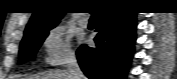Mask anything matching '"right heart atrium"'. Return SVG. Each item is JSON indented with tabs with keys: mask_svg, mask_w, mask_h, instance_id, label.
<instances>
[{
	"mask_svg": "<svg viewBox=\"0 0 177 79\" xmlns=\"http://www.w3.org/2000/svg\"><path fill=\"white\" fill-rule=\"evenodd\" d=\"M42 47L44 62L48 66L64 65L75 57L71 39L59 27H53L46 32Z\"/></svg>",
	"mask_w": 177,
	"mask_h": 79,
	"instance_id": "1",
	"label": "right heart atrium"
}]
</instances>
